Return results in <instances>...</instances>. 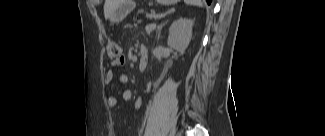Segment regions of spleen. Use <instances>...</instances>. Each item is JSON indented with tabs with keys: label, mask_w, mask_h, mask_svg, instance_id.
<instances>
[{
	"label": "spleen",
	"mask_w": 325,
	"mask_h": 136,
	"mask_svg": "<svg viewBox=\"0 0 325 136\" xmlns=\"http://www.w3.org/2000/svg\"><path fill=\"white\" fill-rule=\"evenodd\" d=\"M186 2V4H189V5H195V6H203V3H202V1H200V0H186L185 1Z\"/></svg>",
	"instance_id": "obj_1"
}]
</instances>
